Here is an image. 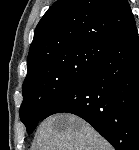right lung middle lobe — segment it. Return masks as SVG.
Masks as SVG:
<instances>
[{
    "label": "right lung middle lobe",
    "mask_w": 139,
    "mask_h": 150,
    "mask_svg": "<svg viewBox=\"0 0 139 150\" xmlns=\"http://www.w3.org/2000/svg\"><path fill=\"white\" fill-rule=\"evenodd\" d=\"M110 45L86 46L57 53L27 73L20 118L31 134L48 107L84 77Z\"/></svg>",
    "instance_id": "right-lung-middle-lobe-1"
}]
</instances>
